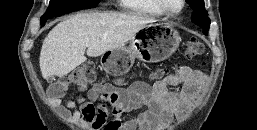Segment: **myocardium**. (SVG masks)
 <instances>
[{
	"instance_id": "obj_1",
	"label": "myocardium",
	"mask_w": 257,
	"mask_h": 130,
	"mask_svg": "<svg viewBox=\"0 0 257 130\" xmlns=\"http://www.w3.org/2000/svg\"><path fill=\"white\" fill-rule=\"evenodd\" d=\"M157 4L159 5V7L166 13V14H169V15H178L180 14L185 6H186V0H181V6L178 10H173L171 9L165 0H156Z\"/></svg>"
}]
</instances>
